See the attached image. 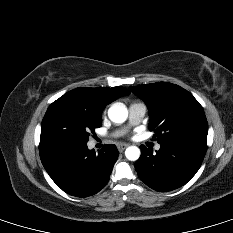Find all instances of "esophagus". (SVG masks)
Returning <instances> with one entry per match:
<instances>
[{
	"label": "esophagus",
	"instance_id": "1",
	"mask_svg": "<svg viewBox=\"0 0 233 233\" xmlns=\"http://www.w3.org/2000/svg\"><path fill=\"white\" fill-rule=\"evenodd\" d=\"M127 147H128V144H119V145L117 146L119 152L124 151Z\"/></svg>",
	"mask_w": 233,
	"mask_h": 233
}]
</instances>
